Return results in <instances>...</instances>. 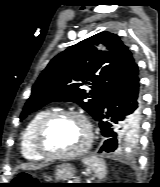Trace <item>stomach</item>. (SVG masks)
<instances>
[{
	"instance_id": "1",
	"label": "stomach",
	"mask_w": 160,
	"mask_h": 187,
	"mask_svg": "<svg viewBox=\"0 0 160 187\" xmlns=\"http://www.w3.org/2000/svg\"><path fill=\"white\" fill-rule=\"evenodd\" d=\"M75 174V167L69 163H63L57 166L55 176L59 180H69Z\"/></svg>"
}]
</instances>
